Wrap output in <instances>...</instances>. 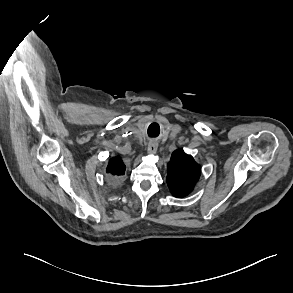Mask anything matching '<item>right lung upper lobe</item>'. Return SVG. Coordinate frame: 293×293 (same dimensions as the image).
Wrapping results in <instances>:
<instances>
[{"label":"right lung upper lobe","mask_w":293,"mask_h":293,"mask_svg":"<svg viewBox=\"0 0 293 293\" xmlns=\"http://www.w3.org/2000/svg\"><path fill=\"white\" fill-rule=\"evenodd\" d=\"M125 165L119 157H113L107 166L106 172L114 177H120L125 174Z\"/></svg>","instance_id":"1"}]
</instances>
